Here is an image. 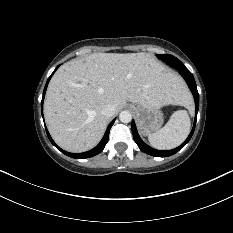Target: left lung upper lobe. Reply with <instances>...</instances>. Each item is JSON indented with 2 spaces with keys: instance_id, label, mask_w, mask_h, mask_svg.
<instances>
[{
  "instance_id": "1",
  "label": "left lung upper lobe",
  "mask_w": 233,
  "mask_h": 233,
  "mask_svg": "<svg viewBox=\"0 0 233 233\" xmlns=\"http://www.w3.org/2000/svg\"><path fill=\"white\" fill-rule=\"evenodd\" d=\"M157 57L159 59H161L162 61L168 63L170 66H173L175 64H180L181 62L174 56L170 55V54H164V55H157Z\"/></svg>"
}]
</instances>
